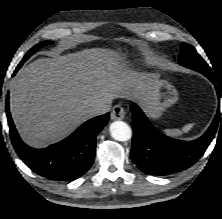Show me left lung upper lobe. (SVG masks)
<instances>
[{
  "label": "left lung upper lobe",
  "instance_id": "left-lung-upper-lobe-1",
  "mask_svg": "<svg viewBox=\"0 0 222 219\" xmlns=\"http://www.w3.org/2000/svg\"><path fill=\"white\" fill-rule=\"evenodd\" d=\"M179 63L187 68L192 69H210L204 59L191 45L187 43H182L179 55Z\"/></svg>",
  "mask_w": 222,
  "mask_h": 219
}]
</instances>
